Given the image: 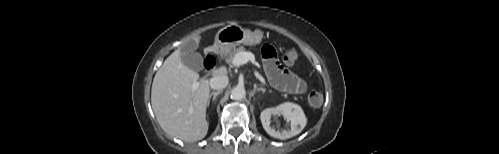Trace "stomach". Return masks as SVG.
Instances as JSON below:
<instances>
[{
  "instance_id": "stomach-1",
  "label": "stomach",
  "mask_w": 499,
  "mask_h": 154,
  "mask_svg": "<svg viewBox=\"0 0 499 154\" xmlns=\"http://www.w3.org/2000/svg\"><path fill=\"white\" fill-rule=\"evenodd\" d=\"M263 33L260 30L250 31L239 25H228L220 29L215 36V46L226 50L244 44L255 46L261 43Z\"/></svg>"
}]
</instances>
